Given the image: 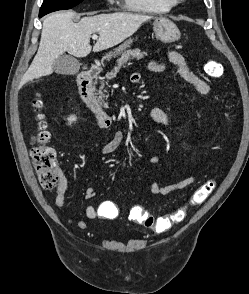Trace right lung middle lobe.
Returning a JSON list of instances; mask_svg holds the SVG:
<instances>
[{"label": "right lung middle lobe", "mask_w": 249, "mask_h": 294, "mask_svg": "<svg viewBox=\"0 0 249 294\" xmlns=\"http://www.w3.org/2000/svg\"><path fill=\"white\" fill-rule=\"evenodd\" d=\"M83 0H44L39 15H45L53 11L71 9Z\"/></svg>", "instance_id": "right-lung-middle-lobe-1"}]
</instances>
